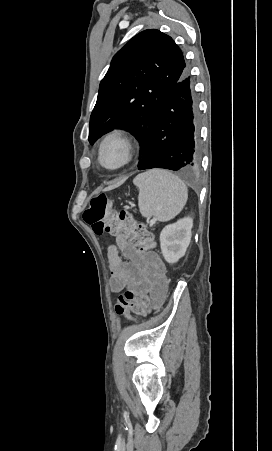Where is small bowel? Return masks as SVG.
Segmentation results:
<instances>
[{
	"label": "small bowel",
	"instance_id": "obj_1",
	"mask_svg": "<svg viewBox=\"0 0 272 451\" xmlns=\"http://www.w3.org/2000/svg\"><path fill=\"white\" fill-rule=\"evenodd\" d=\"M107 258L110 288L115 293L125 289H136L140 293L151 291L150 272L154 278L161 277L166 282V265L151 249L136 250L131 245H124L122 238H116L115 244L107 248ZM153 296L156 302L161 300L158 295Z\"/></svg>",
	"mask_w": 272,
	"mask_h": 451
}]
</instances>
